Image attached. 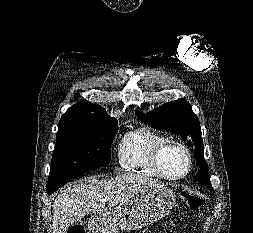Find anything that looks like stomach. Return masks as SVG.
I'll return each mask as SVG.
<instances>
[{
    "mask_svg": "<svg viewBox=\"0 0 253 233\" xmlns=\"http://www.w3.org/2000/svg\"><path fill=\"white\" fill-rule=\"evenodd\" d=\"M175 197L164 185L149 187L115 209L94 214L90 233H119L120 229L131 231L157 222L172 210Z\"/></svg>",
    "mask_w": 253,
    "mask_h": 233,
    "instance_id": "1",
    "label": "stomach"
}]
</instances>
